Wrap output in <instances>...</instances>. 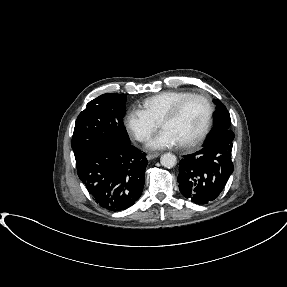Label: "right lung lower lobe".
<instances>
[{"label": "right lung lower lobe", "mask_w": 287, "mask_h": 287, "mask_svg": "<svg viewBox=\"0 0 287 287\" xmlns=\"http://www.w3.org/2000/svg\"><path fill=\"white\" fill-rule=\"evenodd\" d=\"M129 145L99 143L75 156L77 173L101 207L118 212L141 196L147 159Z\"/></svg>", "instance_id": "right-lung-lower-lobe-1"}]
</instances>
